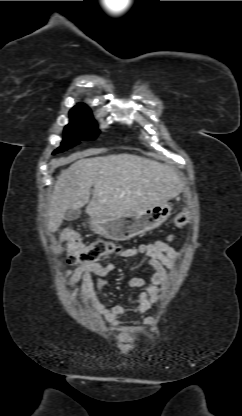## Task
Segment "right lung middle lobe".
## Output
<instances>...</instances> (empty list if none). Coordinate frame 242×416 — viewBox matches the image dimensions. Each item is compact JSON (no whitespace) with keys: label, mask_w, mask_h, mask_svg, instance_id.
<instances>
[{"label":"right lung middle lobe","mask_w":242,"mask_h":416,"mask_svg":"<svg viewBox=\"0 0 242 416\" xmlns=\"http://www.w3.org/2000/svg\"><path fill=\"white\" fill-rule=\"evenodd\" d=\"M69 114L70 123L64 128V139L54 154L62 152L80 141L93 140L99 133L87 106H75Z\"/></svg>","instance_id":"dd1d6c3e"}]
</instances>
